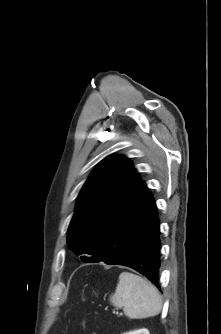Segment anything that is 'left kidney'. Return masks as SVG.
Wrapping results in <instances>:
<instances>
[{"label":"left kidney","mask_w":221,"mask_h":334,"mask_svg":"<svg viewBox=\"0 0 221 334\" xmlns=\"http://www.w3.org/2000/svg\"><path fill=\"white\" fill-rule=\"evenodd\" d=\"M123 334H150V333L147 329H139V330H136V331L127 332V333H123Z\"/></svg>","instance_id":"5707ae66"}]
</instances>
